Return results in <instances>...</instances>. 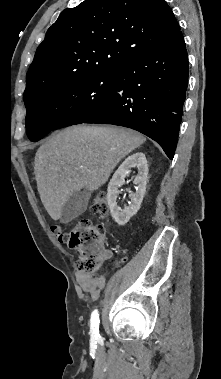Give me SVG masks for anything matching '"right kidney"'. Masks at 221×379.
Here are the masks:
<instances>
[{
  "label": "right kidney",
  "instance_id": "1",
  "mask_svg": "<svg viewBox=\"0 0 221 379\" xmlns=\"http://www.w3.org/2000/svg\"><path fill=\"white\" fill-rule=\"evenodd\" d=\"M133 167H136L138 170V174L133 181V183L137 185L136 192L130 194L129 197L131 201L129 205L121 209L117 202L119 194L118 188L124 184L125 178L129 175L130 169ZM147 176L148 164L142 152L128 156L114 173L108 184L107 201L111 215L118 225H125L140 209L146 191Z\"/></svg>",
  "mask_w": 221,
  "mask_h": 379
}]
</instances>
